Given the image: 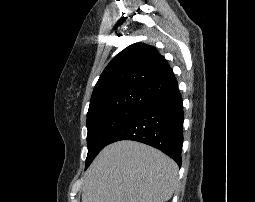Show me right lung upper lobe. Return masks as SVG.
Wrapping results in <instances>:
<instances>
[{
	"instance_id": "obj_1",
	"label": "right lung upper lobe",
	"mask_w": 255,
	"mask_h": 202,
	"mask_svg": "<svg viewBox=\"0 0 255 202\" xmlns=\"http://www.w3.org/2000/svg\"><path fill=\"white\" fill-rule=\"evenodd\" d=\"M178 89L174 73L156 48L136 43L121 51L97 81L87 116L119 108L140 109Z\"/></svg>"
}]
</instances>
